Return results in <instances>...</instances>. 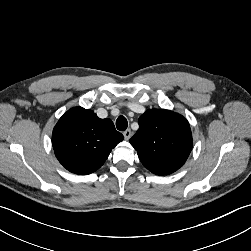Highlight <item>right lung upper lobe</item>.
<instances>
[{"label": "right lung upper lobe", "mask_w": 251, "mask_h": 251, "mask_svg": "<svg viewBox=\"0 0 251 251\" xmlns=\"http://www.w3.org/2000/svg\"><path fill=\"white\" fill-rule=\"evenodd\" d=\"M124 136L109 118L75 107L53 129L52 144L59 162L70 172L86 175L100 168Z\"/></svg>", "instance_id": "right-lung-upper-lobe-1"}]
</instances>
